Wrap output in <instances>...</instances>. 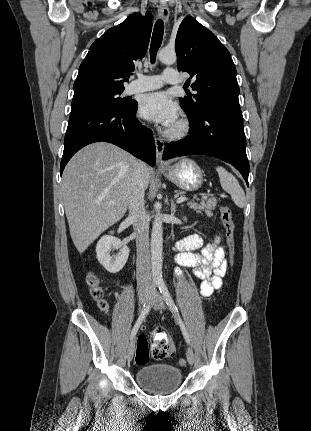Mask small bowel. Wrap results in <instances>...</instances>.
Wrapping results in <instances>:
<instances>
[{
	"label": "small bowel",
	"mask_w": 311,
	"mask_h": 431,
	"mask_svg": "<svg viewBox=\"0 0 311 431\" xmlns=\"http://www.w3.org/2000/svg\"><path fill=\"white\" fill-rule=\"evenodd\" d=\"M176 249L179 251L176 257L178 264L191 268L194 275L201 280L200 292L203 296H210L222 286L228 263L218 236L213 242L204 245L201 235L191 234L177 242ZM198 249H201L200 252H196ZM153 336L167 338L161 329L155 330Z\"/></svg>",
	"instance_id": "1"
}]
</instances>
